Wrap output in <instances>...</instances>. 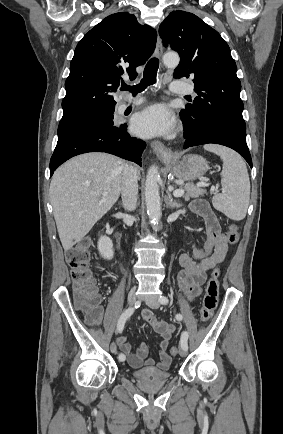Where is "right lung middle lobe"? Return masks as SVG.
Listing matches in <instances>:
<instances>
[{"label": "right lung middle lobe", "mask_w": 283, "mask_h": 434, "mask_svg": "<svg viewBox=\"0 0 283 434\" xmlns=\"http://www.w3.org/2000/svg\"><path fill=\"white\" fill-rule=\"evenodd\" d=\"M113 110L97 114L61 119L58 127V138L72 131L94 125H117L113 122Z\"/></svg>", "instance_id": "dd1d6c3e"}]
</instances>
